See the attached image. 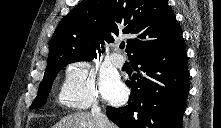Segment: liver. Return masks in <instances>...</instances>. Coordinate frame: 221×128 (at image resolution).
<instances>
[{"label":"liver","instance_id":"liver-1","mask_svg":"<svg viewBox=\"0 0 221 128\" xmlns=\"http://www.w3.org/2000/svg\"><path fill=\"white\" fill-rule=\"evenodd\" d=\"M53 128H97L94 117L88 112H77L63 117ZM110 128H116L110 123Z\"/></svg>","mask_w":221,"mask_h":128}]
</instances>
